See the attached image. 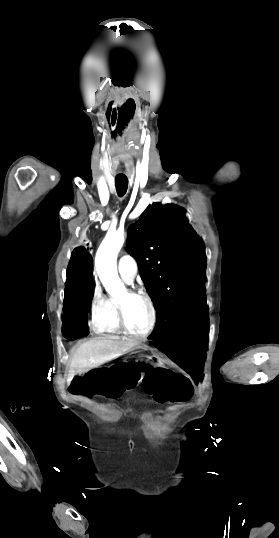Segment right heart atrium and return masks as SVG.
Segmentation results:
<instances>
[{
    "instance_id": "1",
    "label": "right heart atrium",
    "mask_w": 279,
    "mask_h": 538,
    "mask_svg": "<svg viewBox=\"0 0 279 538\" xmlns=\"http://www.w3.org/2000/svg\"><path fill=\"white\" fill-rule=\"evenodd\" d=\"M103 295L100 288L96 285L93 293V322L92 325L100 320L103 314Z\"/></svg>"
}]
</instances>
